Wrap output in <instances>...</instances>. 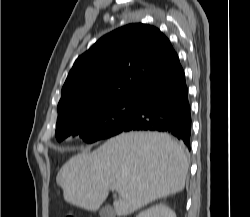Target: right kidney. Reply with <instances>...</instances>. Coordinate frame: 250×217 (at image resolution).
<instances>
[{
	"instance_id": "right-kidney-1",
	"label": "right kidney",
	"mask_w": 250,
	"mask_h": 217,
	"mask_svg": "<svg viewBox=\"0 0 250 217\" xmlns=\"http://www.w3.org/2000/svg\"><path fill=\"white\" fill-rule=\"evenodd\" d=\"M136 217H176V214L169 206L160 203L140 212Z\"/></svg>"
}]
</instances>
